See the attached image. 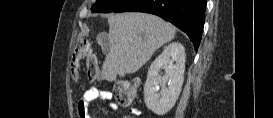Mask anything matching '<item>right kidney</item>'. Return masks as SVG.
I'll use <instances>...</instances> for the list:
<instances>
[{
  "label": "right kidney",
  "instance_id": "obj_1",
  "mask_svg": "<svg viewBox=\"0 0 273 118\" xmlns=\"http://www.w3.org/2000/svg\"><path fill=\"white\" fill-rule=\"evenodd\" d=\"M185 58L183 45L173 42L151 64L144 86V101L154 113L165 114L175 105L184 81ZM162 68L164 76L159 75Z\"/></svg>",
  "mask_w": 273,
  "mask_h": 118
}]
</instances>
